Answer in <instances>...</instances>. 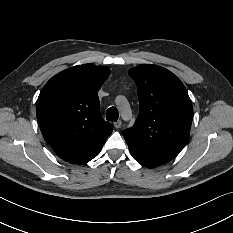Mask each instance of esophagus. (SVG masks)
<instances>
[{"label": "esophagus", "mask_w": 233, "mask_h": 233, "mask_svg": "<svg viewBox=\"0 0 233 233\" xmlns=\"http://www.w3.org/2000/svg\"><path fill=\"white\" fill-rule=\"evenodd\" d=\"M113 125H114V127H115V128H117V129H118V128H120V127H121L122 122H121L120 120H118V121L114 122V123H113Z\"/></svg>", "instance_id": "34e87169"}]
</instances>
